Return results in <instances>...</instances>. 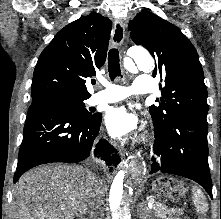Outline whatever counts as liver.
Returning <instances> with one entry per match:
<instances>
[{
	"label": "liver",
	"instance_id": "6515ba94",
	"mask_svg": "<svg viewBox=\"0 0 221 219\" xmlns=\"http://www.w3.org/2000/svg\"><path fill=\"white\" fill-rule=\"evenodd\" d=\"M106 185L83 166H40L23 174L13 191L10 219H74L89 209L95 185Z\"/></svg>",
	"mask_w": 221,
	"mask_h": 219
}]
</instances>
